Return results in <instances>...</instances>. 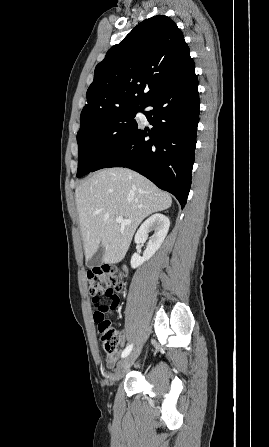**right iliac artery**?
<instances>
[{
  "label": "right iliac artery",
  "mask_w": 269,
  "mask_h": 447,
  "mask_svg": "<svg viewBox=\"0 0 269 447\" xmlns=\"http://www.w3.org/2000/svg\"><path fill=\"white\" fill-rule=\"evenodd\" d=\"M132 347H133L132 344L129 345V346H127V347L125 348V350L123 351L121 357L124 358V357L128 356V355L130 354L131 350H132Z\"/></svg>",
  "instance_id": "obj_1"
}]
</instances>
